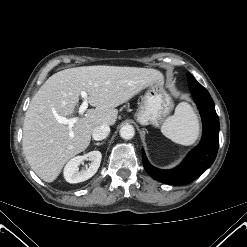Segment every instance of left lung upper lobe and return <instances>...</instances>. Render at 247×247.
Returning <instances> with one entry per match:
<instances>
[{
	"label": "left lung upper lobe",
	"mask_w": 247,
	"mask_h": 247,
	"mask_svg": "<svg viewBox=\"0 0 247 247\" xmlns=\"http://www.w3.org/2000/svg\"><path fill=\"white\" fill-rule=\"evenodd\" d=\"M187 77H192V75L190 73L187 74Z\"/></svg>",
	"instance_id": "5c2ea615"
}]
</instances>
